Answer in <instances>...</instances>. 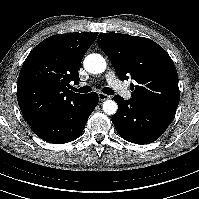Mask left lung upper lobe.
<instances>
[{"label": "left lung upper lobe", "mask_w": 199, "mask_h": 199, "mask_svg": "<svg viewBox=\"0 0 199 199\" xmlns=\"http://www.w3.org/2000/svg\"><path fill=\"white\" fill-rule=\"evenodd\" d=\"M98 45L119 78L131 77L132 100L174 115L179 104L178 74L168 53L154 41L120 33H101Z\"/></svg>", "instance_id": "1"}]
</instances>
